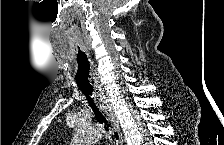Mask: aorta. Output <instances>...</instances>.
I'll return each mask as SVG.
<instances>
[{
  "label": "aorta",
  "instance_id": "obj_1",
  "mask_svg": "<svg viewBox=\"0 0 224 145\" xmlns=\"http://www.w3.org/2000/svg\"><path fill=\"white\" fill-rule=\"evenodd\" d=\"M102 138V131L96 127L79 126L76 128L73 145H93Z\"/></svg>",
  "mask_w": 224,
  "mask_h": 145
}]
</instances>
